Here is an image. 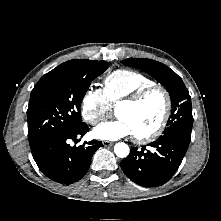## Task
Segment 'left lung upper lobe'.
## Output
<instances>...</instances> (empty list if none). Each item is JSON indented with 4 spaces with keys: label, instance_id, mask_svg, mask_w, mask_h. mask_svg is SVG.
I'll use <instances>...</instances> for the list:
<instances>
[{
    "label": "left lung upper lobe",
    "instance_id": "5c2ea615",
    "mask_svg": "<svg viewBox=\"0 0 221 221\" xmlns=\"http://www.w3.org/2000/svg\"><path fill=\"white\" fill-rule=\"evenodd\" d=\"M122 63L147 72L167 88L171 97L172 112L160 137L169 136L190 142L193 125L192 104L182 79L169 67L152 59L130 58Z\"/></svg>",
    "mask_w": 221,
    "mask_h": 221
}]
</instances>
